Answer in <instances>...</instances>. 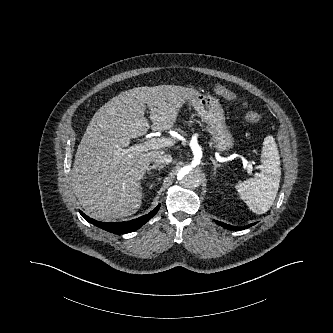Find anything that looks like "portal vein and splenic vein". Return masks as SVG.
Returning <instances> with one entry per match:
<instances>
[{
	"label": "portal vein and splenic vein",
	"instance_id": "obj_1",
	"mask_svg": "<svg viewBox=\"0 0 333 333\" xmlns=\"http://www.w3.org/2000/svg\"><path fill=\"white\" fill-rule=\"evenodd\" d=\"M171 143H172V141L167 138H157V139L151 138L147 141H144L141 144L134 145L132 147V150L137 153L147 152L148 150H155V149L167 147ZM252 171H253L252 165L247 162V172L250 176L253 175Z\"/></svg>",
	"mask_w": 333,
	"mask_h": 333
}]
</instances>
